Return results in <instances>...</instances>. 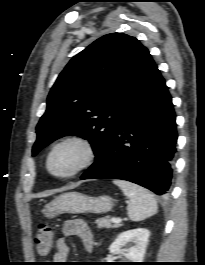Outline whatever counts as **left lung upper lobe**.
I'll use <instances>...</instances> for the list:
<instances>
[{
  "instance_id": "left-lung-upper-lobe-1",
  "label": "left lung upper lobe",
  "mask_w": 205,
  "mask_h": 265,
  "mask_svg": "<svg viewBox=\"0 0 205 265\" xmlns=\"http://www.w3.org/2000/svg\"><path fill=\"white\" fill-rule=\"evenodd\" d=\"M155 66L135 37L111 33L97 39L70 60L53 85L32 155L60 137L77 135L90 141L97 158Z\"/></svg>"
}]
</instances>
